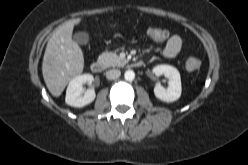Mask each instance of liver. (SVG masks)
Wrapping results in <instances>:
<instances>
[{
	"mask_svg": "<svg viewBox=\"0 0 248 165\" xmlns=\"http://www.w3.org/2000/svg\"><path fill=\"white\" fill-rule=\"evenodd\" d=\"M80 21V18L71 19L58 26L46 46L42 74L49 92L55 97L83 71V52L72 39L73 28Z\"/></svg>",
	"mask_w": 248,
	"mask_h": 165,
	"instance_id": "1",
	"label": "liver"
}]
</instances>
